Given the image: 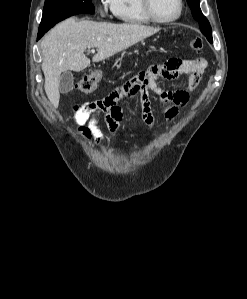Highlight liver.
<instances>
[{"label":"liver","instance_id":"6515ba94","mask_svg":"<svg viewBox=\"0 0 247 299\" xmlns=\"http://www.w3.org/2000/svg\"><path fill=\"white\" fill-rule=\"evenodd\" d=\"M160 28L139 24H113L69 18L56 25L42 40V71L44 89L50 103L57 108L62 72L83 71L90 65L84 54L87 48H96L92 61H103L139 41L157 33Z\"/></svg>","mask_w":247,"mask_h":299}]
</instances>
